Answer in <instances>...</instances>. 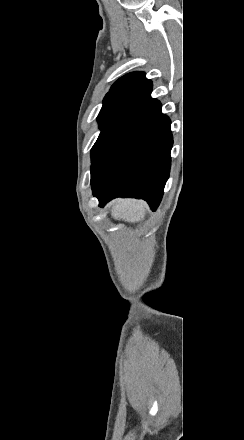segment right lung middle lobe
I'll return each mask as SVG.
<instances>
[{"instance_id": "obj_1", "label": "right lung middle lobe", "mask_w": 244, "mask_h": 440, "mask_svg": "<svg viewBox=\"0 0 244 440\" xmlns=\"http://www.w3.org/2000/svg\"><path fill=\"white\" fill-rule=\"evenodd\" d=\"M136 98H118L104 100L103 107L98 115L101 133L91 150L92 161L103 142L116 126V124L139 102Z\"/></svg>"}]
</instances>
